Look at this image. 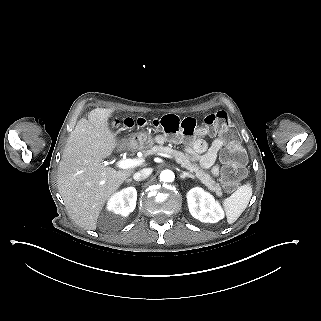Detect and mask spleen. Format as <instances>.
I'll list each match as a JSON object with an SVG mask.
<instances>
[{
  "instance_id": "obj_1",
  "label": "spleen",
  "mask_w": 321,
  "mask_h": 321,
  "mask_svg": "<svg viewBox=\"0 0 321 321\" xmlns=\"http://www.w3.org/2000/svg\"><path fill=\"white\" fill-rule=\"evenodd\" d=\"M252 196L249 183L240 186L231 196L223 201L227 222L233 224L244 212Z\"/></svg>"
}]
</instances>
